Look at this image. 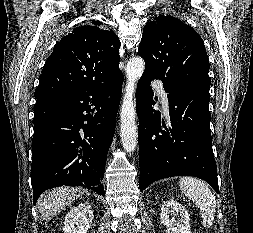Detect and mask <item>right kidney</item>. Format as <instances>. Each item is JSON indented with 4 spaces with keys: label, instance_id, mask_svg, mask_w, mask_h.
<instances>
[{
    "label": "right kidney",
    "instance_id": "1",
    "mask_svg": "<svg viewBox=\"0 0 253 233\" xmlns=\"http://www.w3.org/2000/svg\"><path fill=\"white\" fill-rule=\"evenodd\" d=\"M93 211L88 202L79 204L72 208L64 220V233H87L92 220Z\"/></svg>",
    "mask_w": 253,
    "mask_h": 233
}]
</instances>
